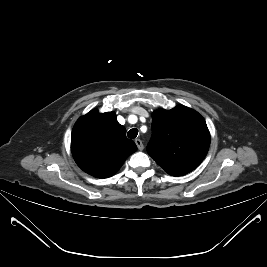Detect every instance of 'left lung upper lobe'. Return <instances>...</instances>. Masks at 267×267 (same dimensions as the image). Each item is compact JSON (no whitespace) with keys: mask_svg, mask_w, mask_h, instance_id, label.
I'll use <instances>...</instances> for the list:
<instances>
[{"mask_svg":"<svg viewBox=\"0 0 267 267\" xmlns=\"http://www.w3.org/2000/svg\"><path fill=\"white\" fill-rule=\"evenodd\" d=\"M210 133L204 118L195 110L178 105L152 114V137L148 154L172 176L193 171L205 158Z\"/></svg>","mask_w":267,"mask_h":267,"instance_id":"left-lung-upper-lobe-1","label":"left lung upper lobe"}]
</instances>
